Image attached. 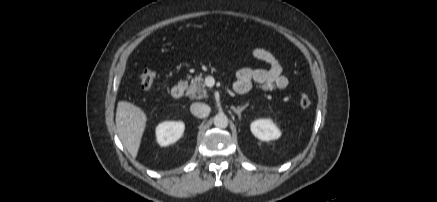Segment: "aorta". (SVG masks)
I'll return each instance as SVG.
<instances>
[{
	"label": "aorta",
	"instance_id": "aorta-1",
	"mask_svg": "<svg viewBox=\"0 0 437 202\" xmlns=\"http://www.w3.org/2000/svg\"><path fill=\"white\" fill-rule=\"evenodd\" d=\"M214 125L217 128H226L228 126V118L225 114L219 113L214 117Z\"/></svg>",
	"mask_w": 437,
	"mask_h": 202
}]
</instances>
